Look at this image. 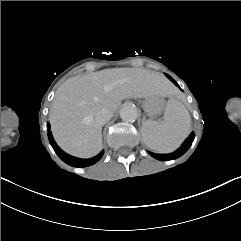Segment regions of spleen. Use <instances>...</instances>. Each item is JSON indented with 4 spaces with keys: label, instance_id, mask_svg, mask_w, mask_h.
Masks as SVG:
<instances>
[{
    "label": "spleen",
    "instance_id": "1",
    "mask_svg": "<svg viewBox=\"0 0 241 241\" xmlns=\"http://www.w3.org/2000/svg\"><path fill=\"white\" fill-rule=\"evenodd\" d=\"M191 132V116L179 100H168L164 122L144 121L141 127L142 141L156 153H171L178 149Z\"/></svg>",
    "mask_w": 241,
    "mask_h": 241
}]
</instances>
